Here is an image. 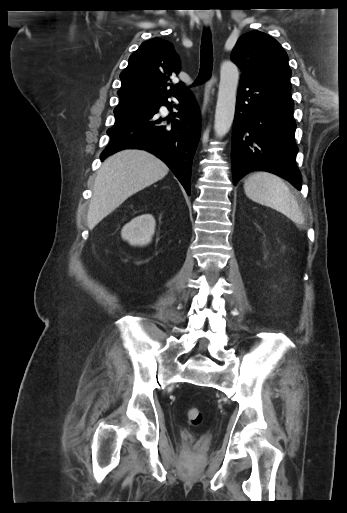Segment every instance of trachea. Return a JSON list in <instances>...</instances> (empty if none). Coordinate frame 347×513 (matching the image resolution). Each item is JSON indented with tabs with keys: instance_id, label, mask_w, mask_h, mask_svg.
<instances>
[{
	"instance_id": "1",
	"label": "trachea",
	"mask_w": 347,
	"mask_h": 513,
	"mask_svg": "<svg viewBox=\"0 0 347 513\" xmlns=\"http://www.w3.org/2000/svg\"><path fill=\"white\" fill-rule=\"evenodd\" d=\"M213 68V47L210 30H204L201 42L200 72L195 84H200L210 78Z\"/></svg>"
}]
</instances>
